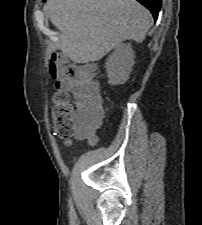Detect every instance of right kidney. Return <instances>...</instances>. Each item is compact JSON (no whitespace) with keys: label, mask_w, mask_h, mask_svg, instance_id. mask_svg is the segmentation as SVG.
Returning a JSON list of instances; mask_svg holds the SVG:
<instances>
[{"label":"right kidney","mask_w":202,"mask_h":225,"mask_svg":"<svg viewBox=\"0 0 202 225\" xmlns=\"http://www.w3.org/2000/svg\"><path fill=\"white\" fill-rule=\"evenodd\" d=\"M134 58L130 44H119L105 63L108 82L112 85L125 83L132 71Z\"/></svg>","instance_id":"ca27d5eb"}]
</instances>
